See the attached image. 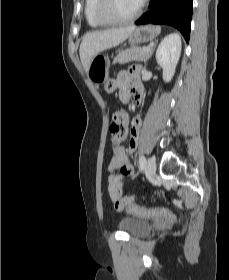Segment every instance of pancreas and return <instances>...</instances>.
Wrapping results in <instances>:
<instances>
[{"instance_id":"pancreas-1","label":"pancreas","mask_w":229,"mask_h":280,"mask_svg":"<svg viewBox=\"0 0 229 280\" xmlns=\"http://www.w3.org/2000/svg\"><path fill=\"white\" fill-rule=\"evenodd\" d=\"M150 57V52H144L142 47L133 46L129 49L121 51L115 58L114 63H128L131 61L146 62Z\"/></svg>"}]
</instances>
